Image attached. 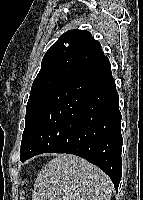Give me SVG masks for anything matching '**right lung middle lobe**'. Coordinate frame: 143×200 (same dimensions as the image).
<instances>
[{"instance_id": "1", "label": "right lung middle lobe", "mask_w": 143, "mask_h": 200, "mask_svg": "<svg viewBox=\"0 0 143 200\" xmlns=\"http://www.w3.org/2000/svg\"><path fill=\"white\" fill-rule=\"evenodd\" d=\"M67 76L55 75L49 76L33 82L31 93L26 107L25 129L22 135V141L25 139L28 128L34 115L46 100V98L58 87Z\"/></svg>"}]
</instances>
